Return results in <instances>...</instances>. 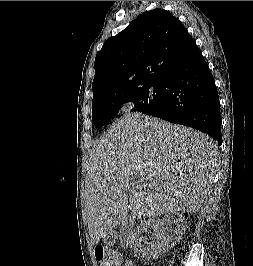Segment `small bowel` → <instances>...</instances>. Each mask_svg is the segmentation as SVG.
Wrapping results in <instances>:
<instances>
[{
    "mask_svg": "<svg viewBox=\"0 0 253 266\" xmlns=\"http://www.w3.org/2000/svg\"><path fill=\"white\" fill-rule=\"evenodd\" d=\"M125 266H132V264L131 263H126Z\"/></svg>",
    "mask_w": 253,
    "mask_h": 266,
    "instance_id": "obj_1",
    "label": "small bowel"
}]
</instances>
